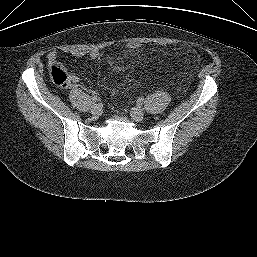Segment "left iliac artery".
<instances>
[{
  "label": "left iliac artery",
  "instance_id": "obj_1",
  "mask_svg": "<svg viewBox=\"0 0 257 257\" xmlns=\"http://www.w3.org/2000/svg\"><path fill=\"white\" fill-rule=\"evenodd\" d=\"M143 101H144L143 98H139V99L137 100V103H138L139 105H141V104L143 103Z\"/></svg>",
  "mask_w": 257,
  "mask_h": 257
}]
</instances>
